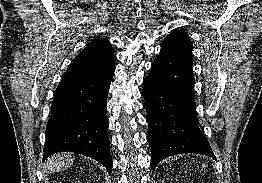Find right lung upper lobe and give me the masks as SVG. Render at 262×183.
Instances as JSON below:
<instances>
[{
	"mask_svg": "<svg viewBox=\"0 0 262 183\" xmlns=\"http://www.w3.org/2000/svg\"><path fill=\"white\" fill-rule=\"evenodd\" d=\"M116 55L109 40H92L75 58L71 67H107L115 63Z\"/></svg>",
	"mask_w": 262,
	"mask_h": 183,
	"instance_id": "cb5924a9",
	"label": "right lung upper lobe"
}]
</instances>
